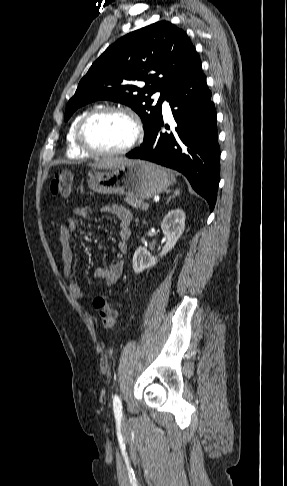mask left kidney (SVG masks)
<instances>
[{"label": "left kidney", "mask_w": 287, "mask_h": 486, "mask_svg": "<svg viewBox=\"0 0 287 486\" xmlns=\"http://www.w3.org/2000/svg\"><path fill=\"white\" fill-rule=\"evenodd\" d=\"M186 215L182 209L169 211L161 222V229L166 238V244L162 248L159 256L163 257L171 251L185 229ZM157 263L154 257L145 247H138L133 256V270L136 274L143 272Z\"/></svg>", "instance_id": "1"}]
</instances>
